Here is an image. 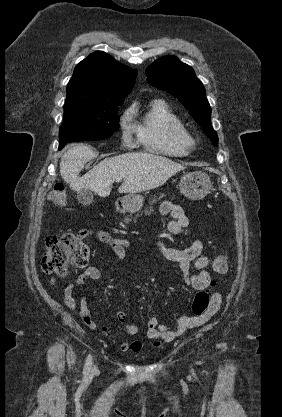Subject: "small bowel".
<instances>
[{
    "mask_svg": "<svg viewBox=\"0 0 282 417\" xmlns=\"http://www.w3.org/2000/svg\"><path fill=\"white\" fill-rule=\"evenodd\" d=\"M159 211L162 215H169L172 220L168 222V231L177 236H188L189 218L184 209L171 201H163L160 205ZM96 237L102 243L110 247L111 251L118 260H124L127 249L129 248V241L114 237L107 231L93 225L88 224L77 232V237L80 239L86 237ZM156 250L159 255L167 261L178 264L182 275L183 282L197 291H203L210 285L211 276L207 270L210 259L202 255L203 243L197 238H193L190 244L184 248H173L168 246L161 238L156 239ZM216 259V258H215ZM103 277L102 272L95 266L88 267L82 274H80L74 281L68 283L64 288V303L72 311L76 309V301L73 296L75 289L80 287L87 280L99 281ZM52 286L55 285V279L49 280ZM222 302L221 295L217 292L211 296V303L207 311L200 316H179L173 328L163 325L158 318L152 316L146 323V337L150 340H167L168 342L174 340L176 337L183 334L186 330L199 327L205 324L213 315L220 309ZM81 309L80 316L84 309H88L87 300L83 297L80 300ZM90 314V311H89ZM116 319L120 323L126 320V313L123 310L116 312ZM89 327L96 329L97 326L88 320L85 322ZM98 330L109 336V331L105 325H100ZM125 332L129 336H134L139 332V327L136 324H127ZM142 349V342L138 339H128L120 344L122 352L138 353Z\"/></svg>",
    "mask_w": 282,
    "mask_h": 417,
    "instance_id": "c3829d8e",
    "label": "small bowel"
}]
</instances>
